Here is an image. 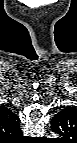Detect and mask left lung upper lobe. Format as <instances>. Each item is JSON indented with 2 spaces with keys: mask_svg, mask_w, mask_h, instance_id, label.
<instances>
[{
  "mask_svg": "<svg viewBox=\"0 0 77 143\" xmlns=\"http://www.w3.org/2000/svg\"><path fill=\"white\" fill-rule=\"evenodd\" d=\"M72 120V119H71ZM69 120L68 122H66V120H64L62 123L63 124H52V129L53 132L60 134L61 136H65L68 134L69 131V127H70V123H72V121Z\"/></svg>",
  "mask_w": 77,
  "mask_h": 143,
  "instance_id": "1",
  "label": "left lung upper lobe"
}]
</instances>
